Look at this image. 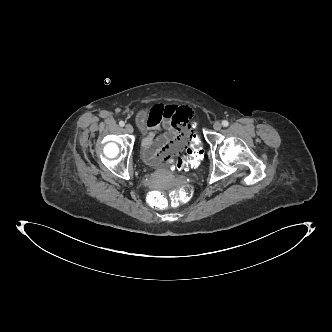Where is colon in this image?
<instances>
[{"mask_svg":"<svg viewBox=\"0 0 332 332\" xmlns=\"http://www.w3.org/2000/svg\"><path fill=\"white\" fill-rule=\"evenodd\" d=\"M189 132L192 135L189 139V145L178 158H173L169 162V167L173 171L184 170L197 167L203 157L201 145L203 138L202 124L198 120H193L189 124ZM193 187L190 184L183 185L179 189L173 191L169 197L164 192L154 191L149 195V203L154 208H164L169 203L179 204L190 200L193 196Z\"/></svg>","mask_w":332,"mask_h":332,"instance_id":"5ec220e1","label":"colon"}]
</instances>
